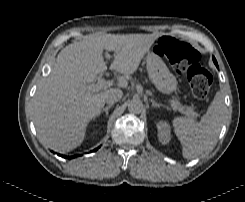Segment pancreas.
I'll return each mask as SVG.
<instances>
[{"label": "pancreas", "mask_w": 245, "mask_h": 202, "mask_svg": "<svg viewBox=\"0 0 245 202\" xmlns=\"http://www.w3.org/2000/svg\"><path fill=\"white\" fill-rule=\"evenodd\" d=\"M177 105H179V103H176ZM182 108H184V109H186V110H190V109H192V108H190V107H186V106H182ZM193 110V109H192Z\"/></svg>", "instance_id": "1"}]
</instances>
